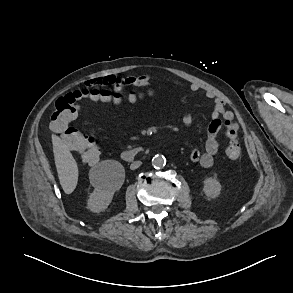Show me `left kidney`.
<instances>
[{
	"instance_id": "1",
	"label": "left kidney",
	"mask_w": 293,
	"mask_h": 293,
	"mask_svg": "<svg viewBox=\"0 0 293 293\" xmlns=\"http://www.w3.org/2000/svg\"><path fill=\"white\" fill-rule=\"evenodd\" d=\"M203 192L209 198H217L221 194V184L213 177L204 180Z\"/></svg>"
}]
</instances>
